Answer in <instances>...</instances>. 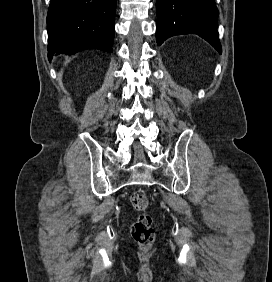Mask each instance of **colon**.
I'll use <instances>...</instances> for the list:
<instances>
[{
    "mask_svg": "<svg viewBox=\"0 0 272 282\" xmlns=\"http://www.w3.org/2000/svg\"><path fill=\"white\" fill-rule=\"evenodd\" d=\"M132 206L139 212L137 220L131 226V235L142 248L148 249L155 240L153 218L148 213L149 199L146 192L138 189L130 196Z\"/></svg>",
    "mask_w": 272,
    "mask_h": 282,
    "instance_id": "1",
    "label": "colon"
}]
</instances>
